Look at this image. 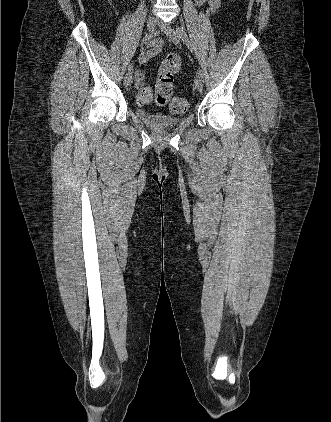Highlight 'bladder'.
I'll use <instances>...</instances> for the list:
<instances>
[{"label": "bladder", "instance_id": "31cf9c89", "mask_svg": "<svg viewBox=\"0 0 331 422\" xmlns=\"http://www.w3.org/2000/svg\"><path fill=\"white\" fill-rule=\"evenodd\" d=\"M135 114L149 127L162 129L177 126L182 121L185 111L172 115L161 111H149L143 108H136Z\"/></svg>", "mask_w": 331, "mask_h": 422}]
</instances>
